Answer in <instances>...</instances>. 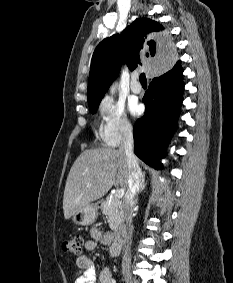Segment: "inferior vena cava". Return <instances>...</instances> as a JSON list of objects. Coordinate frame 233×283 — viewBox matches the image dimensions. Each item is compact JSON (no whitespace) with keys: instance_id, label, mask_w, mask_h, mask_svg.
<instances>
[{"instance_id":"1","label":"inferior vena cava","mask_w":233,"mask_h":283,"mask_svg":"<svg viewBox=\"0 0 233 283\" xmlns=\"http://www.w3.org/2000/svg\"><path fill=\"white\" fill-rule=\"evenodd\" d=\"M133 132L131 126H127L124 131L123 141L119 148L127 158L129 176H128V188L125 196V202L123 205V214L128 226V240L127 245L124 248L122 258V269L128 270L131 265V241L133 235L132 214L133 207L136 201V194L139 192V188L142 182V172L138 165L137 158L133 152Z\"/></svg>"}]
</instances>
